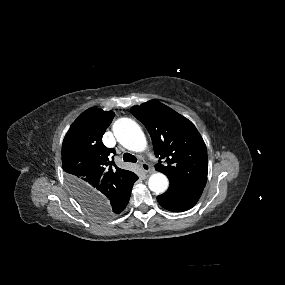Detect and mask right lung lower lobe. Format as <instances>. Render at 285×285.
Instances as JSON below:
<instances>
[{"label": "right lung lower lobe", "instance_id": "98d812e1", "mask_svg": "<svg viewBox=\"0 0 285 285\" xmlns=\"http://www.w3.org/2000/svg\"><path fill=\"white\" fill-rule=\"evenodd\" d=\"M134 182L123 193H121L117 197L110 199L109 201L99 200L93 203V205H95L98 208H106L113 215L121 213L126 208L129 202L131 190H132Z\"/></svg>", "mask_w": 285, "mask_h": 285}]
</instances>
